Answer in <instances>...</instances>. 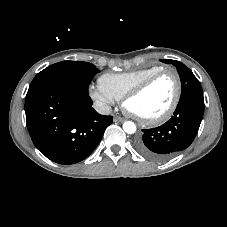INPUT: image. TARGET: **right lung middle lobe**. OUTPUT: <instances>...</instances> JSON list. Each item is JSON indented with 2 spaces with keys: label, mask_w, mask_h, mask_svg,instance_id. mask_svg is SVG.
Returning a JSON list of instances; mask_svg holds the SVG:
<instances>
[{
  "label": "right lung middle lobe",
  "mask_w": 227,
  "mask_h": 227,
  "mask_svg": "<svg viewBox=\"0 0 227 227\" xmlns=\"http://www.w3.org/2000/svg\"><path fill=\"white\" fill-rule=\"evenodd\" d=\"M99 70L91 63L82 61H62L39 72L29 86L33 91L45 85H63L85 92Z\"/></svg>",
  "instance_id": "right-lung-middle-lobe-1"
}]
</instances>
